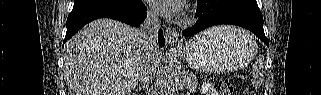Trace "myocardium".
<instances>
[{"label":"myocardium","mask_w":321,"mask_h":95,"mask_svg":"<svg viewBox=\"0 0 321 95\" xmlns=\"http://www.w3.org/2000/svg\"><path fill=\"white\" fill-rule=\"evenodd\" d=\"M184 22H185V23H187V22H189V20H188V19H186V20H184Z\"/></svg>","instance_id":"myocardium-1"}]
</instances>
